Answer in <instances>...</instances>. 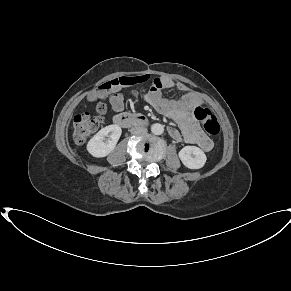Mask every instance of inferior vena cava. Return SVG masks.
<instances>
[{
	"label": "inferior vena cava",
	"mask_w": 291,
	"mask_h": 291,
	"mask_svg": "<svg viewBox=\"0 0 291 291\" xmlns=\"http://www.w3.org/2000/svg\"><path fill=\"white\" fill-rule=\"evenodd\" d=\"M130 132L132 134H143L147 132V128L143 127V126H133L130 129Z\"/></svg>",
	"instance_id": "602c4592"
}]
</instances>
